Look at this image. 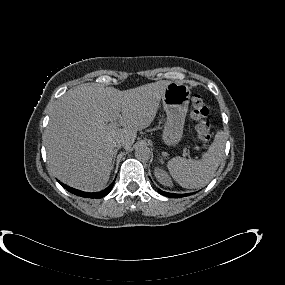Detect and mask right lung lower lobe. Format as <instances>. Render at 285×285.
Masks as SVG:
<instances>
[{
	"mask_svg": "<svg viewBox=\"0 0 285 285\" xmlns=\"http://www.w3.org/2000/svg\"><path fill=\"white\" fill-rule=\"evenodd\" d=\"M60 184L67 190L69 191L70 193H73L77 196H80V197H84V198H101V197H104L106 196L112 189L113 187V184L114 182L108 187L106 188L105 190L101 191V192H96V193H89V192H83V191H80V190H77V189H74V188H71L63 183L60 182Z\"/></svg>",
	"mask_w": 285,
	"mask_h": 285,
	"instance_id": "obj_1",
	"label": "right lung lower lobe"
}]
</instances>
